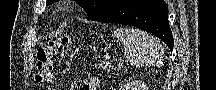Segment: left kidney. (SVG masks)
Returning <instances> with one entry per match:
<instances>
[{
	"mask_svg": "<svg viewBox=\"0 0 216 90\" xmlns=\"http://www.w3.org/2000/svg\"><path fill=\"white\" fill-rule=\"evenodd\" d=\"M123 90H148V86L145 82H141V80H133V82L125 84Z\"/></svg>",
	"mask_w": 216,
	"mask_h": 90,
	"instance_id": "1",
	"label": "left kidney"
}]
</instances>
